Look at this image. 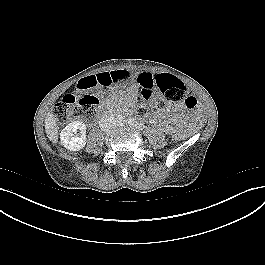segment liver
I'll return each instance as SVG.
<instances>
[{
    "mask_svg": "<svg viewBox=\"0 0 265 265\" xmlns=\"http://www.w3.org/2000/svg\"><path fill=\"white\" fill-rule=\"evenodd\" d=\"M58 129L55 115L52 112H48L45 118V132L53 143H56L58 140Z\"/></svg>",
    "mask_w": 265,
    "mask_h": 265,
    "instance_id": "liver-1",
    "label": "liver"
}]
</instances>
